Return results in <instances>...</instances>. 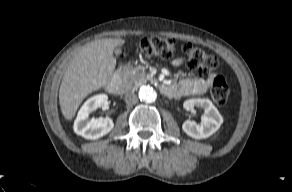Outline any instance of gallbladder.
<instances>
[{
  "label": "gallbladder",
  "mask_w": 292,
  "mask_h": 192,
  "mask_svg": "<svg viewBox=\"0 0 292 192\" xmlns=\"http://www.w3.org/2000/svg\"><path fill=\"white\" fill-rule=\"evenodd\" d=\"M114 53H115L116 55L120 54V53H121V48H120L119 46L116 47L115 50H114Z\"/></svg>",
  "instance_id": "bac80fb5"
}]
</instances>
